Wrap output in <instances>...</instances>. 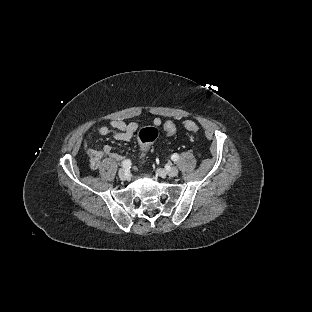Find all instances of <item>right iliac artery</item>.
Listing matches in <instances>:
<instances>
[{"instance_id":"1","label":"right iliac artery","mask_w":312,"mask_h":312,"mask_svg":"<svg viewBox=\"0 0 312 312\" xmlns=\"http://www.w3.org/2000/svg\"><path fill=\"white\" fill-rule=\"evenodd\" d=\"M122 166L126 169L130 168L131 166V161L129 159H125L123 162H122Z\"/></svg>"}]
</instances>
